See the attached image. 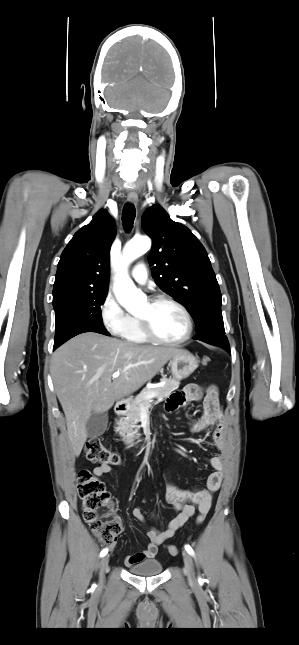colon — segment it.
Here are the masks:
<instances>
[{
    "label": "colon",
    "mask_w": 299,
    "mask_h": 645,
    "mask_svg": "<svg viewBox=\"0 0 299 645\" xmlns=\"http://www.w3.org/2000/svg\"><path fill=\"white\" fill-rule=\"evenodd\" d=\"M210 363V357H203L202 364L204 366H208ZM85 455L89 461L100 465L117 466L122 461L117 452L106 448L96 437L87 441ZM77 481L84 520L103 544L112 546L122 531V522L114 511L110 494L104 484L87 469L78 473ZM205 518L206 514L199 513L196 519L197 525H201ZM168 552L171 555H177L179 549L175 545H169Z\"/></svg>",
    "instance_id": "obj_1"
}]
</instances>
